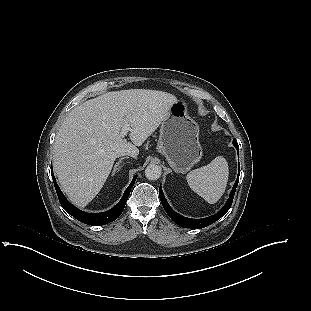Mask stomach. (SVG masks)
Listing matches in <instances>:
<instances>
[{"instance_id":"obj_1","label":"stomach","mask_w":311,"mask_h":311,"mask_svg":"<svg viewBox=\"0 0 311 311\" xmlns=\"http://www.w3.org/2000/svg\"><path fill=\"white\" fill-rule=\"evenodd\" d=\"M197 123L188 116L187 104L177 100L162 121L157 150L177 173L188 172L202 157Z\"/></svg>"}]
</instances>
